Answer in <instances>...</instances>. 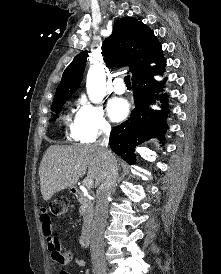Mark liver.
<instances>
[{
    "instance_id": "liver-1",
    "label": "liver",
    "mask_w": 221,
    "mask_h": 274,
    "mask_svg": "<svg viewBox=\"0 0 221 274\" xmlns=\"http://www.w3.org/2000/svg\"><path fill=\"white\" fill-rule=\"evenodd\" d=\"M87 172L98 186L105 169L104 160L96 145L50 146L40 163L41 194L45 201L54 194L72 188Z\"/></svg>"
}]
</instances>
